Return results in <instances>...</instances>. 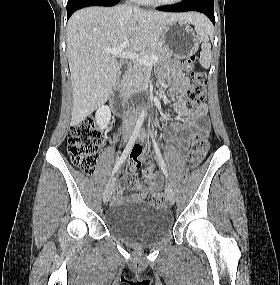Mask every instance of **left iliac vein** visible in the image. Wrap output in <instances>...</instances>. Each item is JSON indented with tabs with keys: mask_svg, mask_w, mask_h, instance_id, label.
Instances as JSON below:
<instances>
[{
	"mask_svg": "<svg viewBox=\"0 0 280 285\" xmlns=\"http://www.w3.org/2000/svg\"><path fill=\"white\" fill-rule=\"evenodd\" d=\"M145 137H146L145 132L144 130H142L140 134V141L142 142L145 141ZM165 191H166L169 203L174 204L175 203V193H174L172 185L169 182L166 183Z\"/></svg>",
	"mask_w": 280,
	"mask_h": 285,
	"instance_id": "1",
	"label": "left iliac vein"
}]
</instances>
